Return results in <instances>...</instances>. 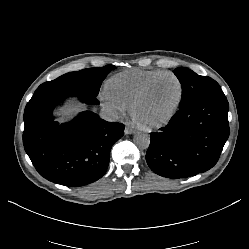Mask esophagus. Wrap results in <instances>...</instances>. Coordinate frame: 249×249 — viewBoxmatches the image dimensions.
Segmentation results:
<instances>
[{
    "label": "esophagus",
    "mask_w": 249,
    "mask_h": 249,
    "mask_svg": "<svg viewBox=\"0 0 249 249\" xmlns=\"http://www.w3.org/2000/svg\"><path fill=\"white\" fill-rule=\"evenodd\" d=\"M133 133H135L134 129H132L128 126L125 128V134H133Z\"/></svg>",
    "instance_id": "esophagus-1"
}]
</instances>
